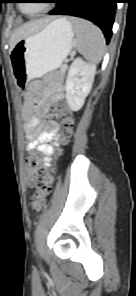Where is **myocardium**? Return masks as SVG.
<instances>
[{"label": "myocardium", "instance_id": "1", "mask_svg": "<svg viewBox=\"0 0 136 296\" xmlns=\"http://www.w3.org/2000/svg\"><path fill=\"white\" fill-rule=\"evenodd\" d=\"M20 8H21V10L25 13V14H27V15H30V16H34V15H36L37 13H39V11L38 12H35V13H30L26 8H25V4H20ZM48 8H45L44 10H41V12L42 11H45V10H47Z\"/></svg>", "mask_w": 136, "mask_h": 296}]
</instances>
